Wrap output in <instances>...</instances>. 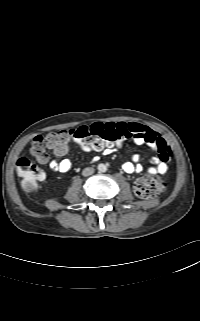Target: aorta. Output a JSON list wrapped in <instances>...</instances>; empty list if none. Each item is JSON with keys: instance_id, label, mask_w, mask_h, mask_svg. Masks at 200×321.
Segmentation results:
<instances>
[{"instance_id": "1", "label": "aorta", "mask_w": 200, "mask_h": 321, "mask_svg": "<svg viewBox=\"0 0 200 321\" xmlns=\"http://www.w3.org/2000/svg\"><path fill=\"white\" fill-rule=\"evenodd\" d=\"M97 168H98L99 172H106L107 171V166L105 164H99Z\"/></svg>"}]
</instances>
